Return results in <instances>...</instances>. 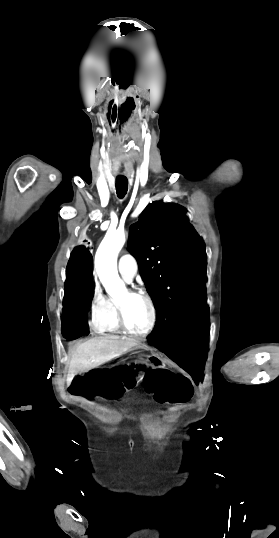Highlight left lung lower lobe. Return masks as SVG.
I'll list each match as a JSON object with an SVG mask.
<instances>
[{
	"label": "left lung lower lobe",
	"instance_id": "obj_1",
	"mask_svg": "<svg viewBox=\"0 0 279 538\" xmlns=\"http://www.w3.org/2000/svg\"><path fill=\"white\" fill-rule=\"evenodd\" d=\"M209 307H201L182 327L169 336H148L149 343L185 368L198 382L204 370L209 339Z\"/></svg>",
	"mask_w": 279,
	"mask_h": 538
}]
</instances>
